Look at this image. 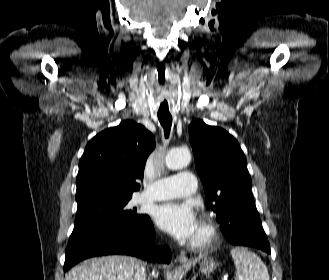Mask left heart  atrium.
Segmentation results:
<instances>
[{"label": "left heart atrium", "mask_w": 329, "mask_h": 280, "mask_svg": "<svg viewBox=\"0 0 329 280\" xmlns=\"http://www.w3.org/2000/svg\"><path fill=\"white\" fill-rule=\"evenodd\" d=\"M156 224L178 240L192 241L198 230L196 212L187 203L171 201L157 206L154 212Z\"/></svg>", "instance_id": "obj_1"}]
</instances>
